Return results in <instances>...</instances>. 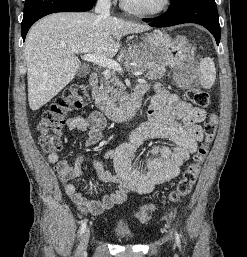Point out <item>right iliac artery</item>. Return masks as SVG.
Returning a JSON list of instances; mask_svg holds the SVG:
<instances>
[{
	"mask_svg": "<svg viewBox=\"0 0 247 257\" xmlns=\"http://www.w3.org/2000/svg\"><path fill=\"white\" fill-rule=\"evenodd\" d=\"M86 226H87L86 220H84L82 222V225H81L80 230H79V236H81L84 233V231L86 230Z\"/></svg>",
	"mask_w": 247,
	"mask_h": 257,
	"instance_id": "1",
	"label": "right iliac artery"
}]
</instances>
